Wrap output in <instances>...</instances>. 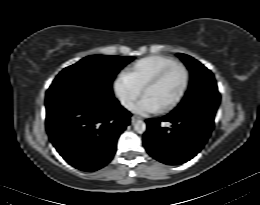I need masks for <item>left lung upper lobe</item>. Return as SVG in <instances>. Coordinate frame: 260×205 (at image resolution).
Returning a JSON list of instances; mask_svg holds the SVG:
<instances>
[{
	"instance_id": "left-lung-upper-lobe-1",
	"label": "left lung upper lobe",
	"mask_w": 260,
	"mask_h": 205,
	"mask_svg": "<svg viewBox=\"0 0 260 205\" xmlns=\"http://www.w3.org/2000/svg\"><path fill=\"white\" fill-rule=\"evenodd\" d=\"M190 70L191 82L181 104L173 111L199 110L215 115L220 102V94L213 74L194 58L178 54Z\"/></svg>"
}]
</instances>
